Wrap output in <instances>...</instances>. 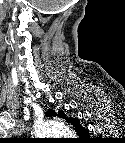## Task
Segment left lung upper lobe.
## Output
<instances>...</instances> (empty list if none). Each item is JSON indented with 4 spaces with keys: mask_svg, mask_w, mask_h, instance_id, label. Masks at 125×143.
<instances>
[{
    "mask_svg": "<svg viewBox=\"0 0 125 143\" xmlns=\"http://www.w3.org/2000/svg\"><path fill=\"white\" fill-rule=\"evenodd\" d=\"M56 115H57V116H60V117H62V118H64V115H63L62 112H59V114H57V113H56L55 111H53V110H49L48 112H46V116H56ZM74 127H75L76 132H77L78 135H81L83 132L86 131V129L83 128V127H81V126L79 125V123L75 124Z\"/></svg>",
    "mask_w": 125,
    "mask_h": 143,
    "instance_id": "5c2ea615",
    "label": "left lung upper lobe"
}]
</instances>
